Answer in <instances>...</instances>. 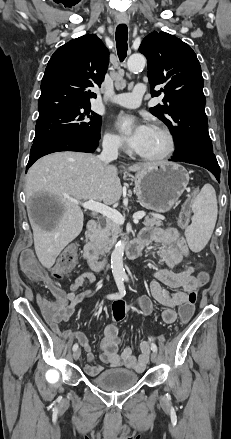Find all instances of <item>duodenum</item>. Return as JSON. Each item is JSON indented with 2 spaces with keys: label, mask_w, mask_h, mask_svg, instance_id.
I'll return each instance as SVG.
<instances>
[{
  "label": "duodenum",
  "mask_w": 231,
  "mask_h": 439,
  "mask_svg": "<svg viewBox=\"0 0 231 439\" xmlns=\"http://www.w3.org/2000/svg\"><path fill=\"white\" fill-rule=\"evenodd\" d=\"M98 223L95 220H90L87 223L86 242L83 249L84 258L94 271H100L105 266V260L101 257L100 251L97 248L94 237L97 232ZM145 247L141 239H136L128 244L126 254L128 258L135 259L140 256Z\"/></svg>",
  "instance_id": "duodenum-1"
}]
</instances>
